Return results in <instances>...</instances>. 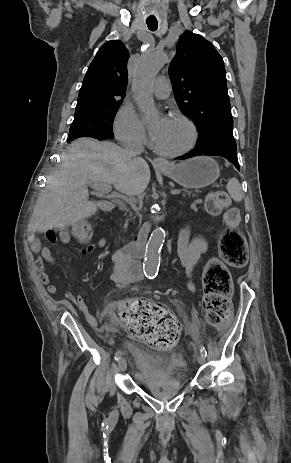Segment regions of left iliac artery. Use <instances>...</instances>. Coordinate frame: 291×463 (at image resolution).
I'll list each match as a JSON object with an SVG mask.
<instances>
[{
    "label": "left iliac artery",
    "instance_id": "1",
    "mask_svg": "<svg viewBox=\"0 0 291 463\" xmlns=\"http://www.w3.org/2000/svg\"><path fill=\"white\" fill-rule=\"evenodd\" d=\"M200 353H201L204 357L207 356V351H206V349H205L204 346H201V347H200Z\"/></svg>",
    "mask_w": 291,
    "mask_h": 463
}]
</instances>
